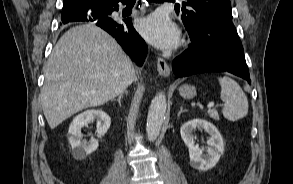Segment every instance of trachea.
<instances>
[{"label":"trachea","mask_w":293,"mask_h":184,"mask_svg":"<svg viewBox=\"0 0 293 184\" xmlns=\"http://www.w3.org/2000/svg\"><path fill=\"white\" fill-rule=\"evenodd\" d=\"M149 2H160V1H163V0H148ZM135 0H131L129 3H134Z\"/></svg>","instance_id":"trachea-1"}]
</instances>
